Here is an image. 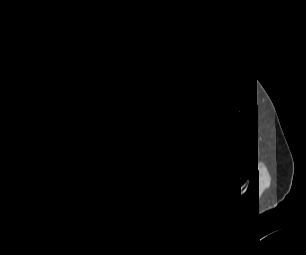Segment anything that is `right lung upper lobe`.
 I'll return each instance as SVG.
<instances>
[{"mask_svg":"<svg viewBox=\"0 0 306 255\" xmlns=\"http://www.w3.org/2000/svg\"><path fill=\"white\" fill-rule=\"evenodd\" d=\"M123 83L118 74L90 77L73 86L60 107L56 150L62 174L73 190L96 186L115 170L109 141ZM75 162L80 163L78 169Z\"/></svg>","mask_w":306,"mask_h":255,"instance_id":"right-lung-upper-lobe-1","label":"right lung upper lobe"}]
</instances>
